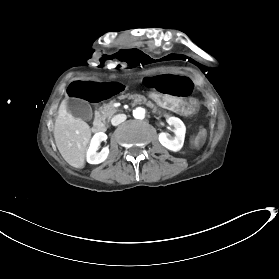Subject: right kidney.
<instances>
[{"instance_id":"ca27d5eb","label":"right kidney","mask_w":279,"mask_h":279,"mask_svg":"<svg viewBox=\"0 0 279 279\" xmlns=\"http://www.w3.org/2000/svg\"><path fill=\"white\" fill-rule=\"evenodd\" d=\"M105 140H107V135L103 132H98L93 136L86 155L87 162L89 164H99L106 160L109 154L108 148H104L99 153L96 152L100 146V143Z\"/></svg>"}]
</instances>
